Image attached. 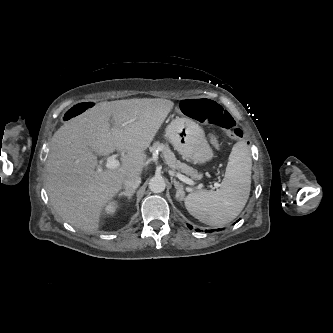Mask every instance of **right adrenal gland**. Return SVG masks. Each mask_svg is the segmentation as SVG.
I'll return each instance as SVG.
<instances>
[{
  "label": "right adrenal gland",
  "mask_w": 333,
  "mask_h": 333,
  "mask_svg": "<svg viewBox=\"0 0 333 333\" xmlns=\"http://www.w3.org/2000/svg\"><path fill=\"white\" fill-rule=\"evenodd\" d=\"M134 192L135 191H124V192H120L118 194V197L125 196V197H127L130 200L132 198Z\"/></svg>",
  "instance_id": "obj_1"
}]
</instances>
